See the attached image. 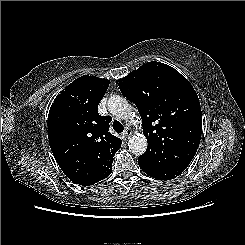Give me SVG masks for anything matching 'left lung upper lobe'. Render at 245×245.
<instances>
[{"label":"left lung upper lobe","mask_w":245,"mask_h":245,"mask_svg":"<svg viewBox=\"0 0 245 245\" xmlns=\"http://www.w3.org/2000/svg\"><path fill=\"white\" fill-rule=\"evenodd\" d=\"M135 103L147 138L138 164L179 176L190 164L202 134V113L191 83L174 68L148 62L116 81Z\"/></svg>","instance_id":"1"}]
</instances>
